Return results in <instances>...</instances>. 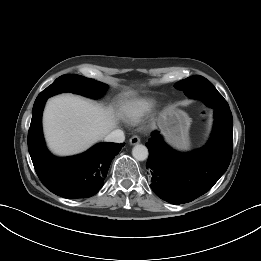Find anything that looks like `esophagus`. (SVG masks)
I'll return each mask as SVG.
<instances>
[{
  "label": "esophagus",
  "instance_id": "34e87169",
  "mask_svg": "<svg viewBox=\"0 0 261 261\" xmlns=\"http://www.w3.org/2000/svg\"><path fill=\"white\" fill-rule=\"evenodd\" d=\"M131 145H136L138 143H140V138L138 136H132L129 140Z\"/></svg>",
  "mask_w": 261,
  "mask_h": 261
}]
</instances>
